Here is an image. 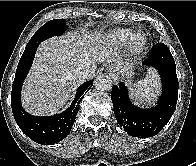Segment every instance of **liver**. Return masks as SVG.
<instances>
[{"label": "liver", "mask_w": 196, "mask_h": 166, "mask_svg": "<svg viewBox=\"0 0 196 166\" xmlns=\"http://www.w3.org/2000/svg\"><path fill=\"white\" fill-rule=\"evenodd\" d=\"M115 38L103 31L65 36L43 41L36 53L32 68L24 82L22 105L31 114L41 116L56 113L82 82L74 73L77 68L90 70L93 77L97 64L121 67L113 50Z\"/></svg>", "instance_id": "liver-1"}]
</instances>
